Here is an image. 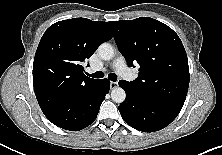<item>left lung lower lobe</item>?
Wrapping results in <instances>:
<instances>
[{
    "instance_id": "0a47b994",
    "label": "left lung lower lobe",
    "mask_w": 222,
    "mask_h": 155,
    "mask_svg": "<svg viewBox=\"0 0 222 155\" xmlns=\"http://www.w3.org/2000/svg\"><path fill=\"white\" fill-rule=\"evenodd\" d=\"M119 86L126 92V99L119 106L123 120L142 132H155L168 126L179 114L180 108L144 97L122 81Z\"/></svg>"
}]
</instances>
